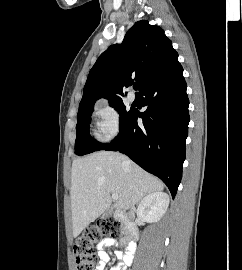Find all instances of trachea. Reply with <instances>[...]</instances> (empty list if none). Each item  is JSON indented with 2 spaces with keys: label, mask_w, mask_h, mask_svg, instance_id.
Listing matches in <instances>:
<instances>
[{
  "label": "trachea",
  "mask_w": 242,
  "mask_h": 270,
  "mask_svg": "<svg viewBox=\"0 0 242 270\" xmlns=\"http://www.w3.org/2000/svg\"><path fill=\"white\" fill-rule=\"evenodd\" d=\"M133 89L136 90V91L138 90V84H137V83H135V84L133 85Z\"/></svg>",
  "instance_id": "trachea-1"
}]
</instances>
